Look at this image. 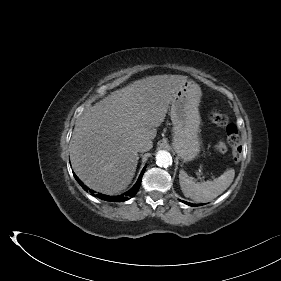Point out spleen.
<instances>
[{"label":"spleen","mask_w":281,"mask_h":281,"mask_svg":"<svg viewBox=\"0 0 281 281\" xmlns=\"http://www.w3.org/2000/svg\"><path fill=\"white\" fill-rule=\"evenodd\" d=\"M234 177L235 170L231 168L214 180L195 182L184 170H180L179 181L185 197L206 203L222 194L232 184Z\"/></svg>","instance_id":"spleen-1"}]
</instances>
